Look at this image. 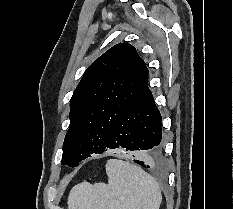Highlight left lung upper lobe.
<instances>
[{
  "mask_svg": "<svg viewBox=\"0 0 233 209\" xmlns=\"http://www.w3.org/2000/svg\"><path fill=\"white\" fill-rule=\"evenodd\" d=\"M148 74L145 62L128 43L113 46L87 68L70 102L63 165L75 167L105 151L113 126Z\"/></svg>",
  "mask_w": 233,
  "mask_h": 209,
  "instance_id": "5c2ea615",
  "label": "left lung upper lobe"
}]
</instances>
